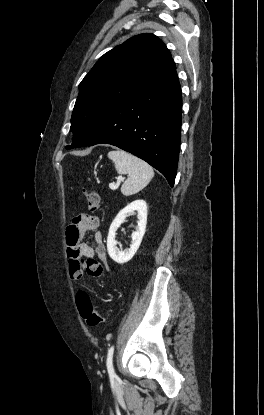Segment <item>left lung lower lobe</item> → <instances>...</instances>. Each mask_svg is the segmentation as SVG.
<instances>
[{
  "label": "left lung lower lobe",
  "mask_w": 264,
  "mask_h": 415,
  "mask_svg": "<svg viewBox=\"0 0 264 415\" xmlns=\"http://www.w3.org/2000/svg\"><path fill=\"white\" fill-rule=\"evenodd\" d=\"M182 94L176 69L113 108L81 144L106 143L143 159L173 187L177 173Z\"/></svg>",
  "instance_id": "0a47b994"
}]
</instances>
